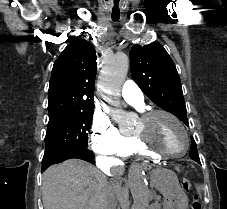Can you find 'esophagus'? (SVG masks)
Listing matches in <instances>:
<instances>
[{
    "label": "esophagus",
    "instance_id": "obj_1",
    "mask_svg": "<svg viewBox=\"0 0 227 209\" xmlns=\"http://www.w3.org/2000/svg\"><path fill=\"white\" fill-rule=\"evenodd\" d=\"M151 168V164H144L143 166H141V171H143V173H146V171H150Z\"/></svg>",
    "mask_w": 227,
    "mask_h": 209
}]
</instances>
